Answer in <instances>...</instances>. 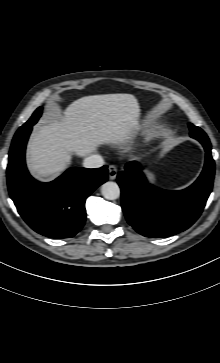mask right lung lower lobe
<instances>
[{"instance_id":"98d812e1","label":"right lung lower lobe","mask_w":220,"mask_h":363,"mask_svg":"<svg viewBox=\"0 0 220 363\" xmlns=\"http://www.w3.org/2000/svg\"><path fill=\"white\" fill-rule=\"evenodd\" d=\"M32 126L12 141L7 167L10 197L21 217L37 233L50 238L73 237L84 225L87 197L108 179L107 166L74 167L52 182L36 181L28 173L24 158Z\"/></svg>"}]
</instances>
